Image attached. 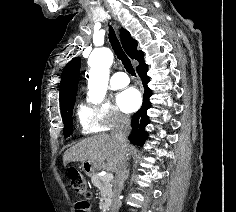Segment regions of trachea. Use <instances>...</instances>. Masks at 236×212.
Returning <instances> with one entry per match:
<instances>
[{
    "label": "trachea",
    "instance_id": "obj_1",
    "mask_svg": "<svg viewBox=\"0 0 236 212\" xmlns=\"http://www.w3.org/2000/svg\"><path fill=\"white\" fill-rule=\"evenodd\" d=\"M109 41L111 43V46L119 60H121L122 64L124 65V68L126 71L131 74L132 76H136L134 68L132 66L131 60L128 58V56L123 51L121 44L115 34L114 29L109 26Z\"/></svg>",
    "mask_w": 236,
    "mask_h": 212
}]
</instances>
